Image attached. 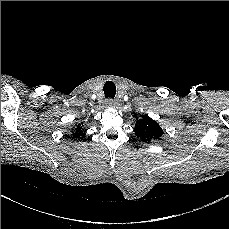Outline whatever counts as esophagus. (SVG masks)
<instances>
[{"label": "esophagus", "mask_w": 229, "mask_h": 229, "mask_svg": "<svg viewBox=\"0 0 229 229\" xmlns=\"http://www.w3.org/2000/svg\"><path fill=\"white\" fill-rule=\"evenodd\" d=\"M106 106L109 108H114L116 107V102L113 99H107L106 100Z\"/></svg>", "instance_id": "esophagus-1"}]
</instances>
